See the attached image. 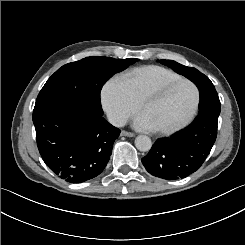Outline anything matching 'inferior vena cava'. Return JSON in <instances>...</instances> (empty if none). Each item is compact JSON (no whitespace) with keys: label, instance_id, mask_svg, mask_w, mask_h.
Returning a JSON list of instances; mask_svg holds the SVG:
<instances>
[{"label":"inferior vena cava","instance_id":"inferior-vena-cava-1","mask_svg":"<svg viewBox=\"0 0 245 245\" xmlns=\"http://www.w3.org/2000/svg\"><path fill=\"white\" fill-rule=\"evenodd\" d=\"M108 120L112 125L116 127H123L127 123V118L124 115L116 114V113L109 114Z\"/></svg>","mask_w":245,"mask_h":245}]
</instances>
